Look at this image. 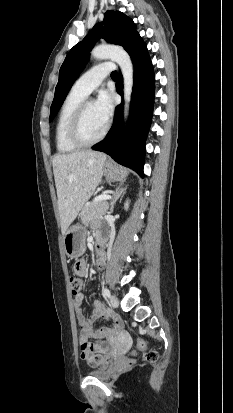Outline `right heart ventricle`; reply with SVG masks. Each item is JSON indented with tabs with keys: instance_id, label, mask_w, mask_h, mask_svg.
Listing matches in <instances>:
<instances>
[{
	"instance_id": "obj_1",
	"label": "right heart ventricle",
	"mask_w": 233,
	"mask_h": 413,
	"mask_svg": "<svg viewBox=\"0 0 233 413\" xmlns=\"http://www.w3.org/2000/svg\"><path fill=\"white\" fill-rule=\"evenodd\" d=\"M85 98L86 95L72 89L62 103L55 130L56 147L59 152L70 153L79 148L70 141L68 127L74 112Z\"/></svg>"
}]
</instances>
